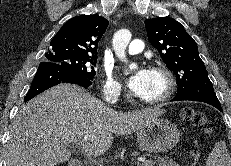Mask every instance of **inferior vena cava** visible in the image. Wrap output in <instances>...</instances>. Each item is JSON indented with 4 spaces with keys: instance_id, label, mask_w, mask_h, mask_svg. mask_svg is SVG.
Segmentation results:
<instances>
[{
    "instance_id": "602c4592",
    "label": "inferior vena cava",
    "mask_w": 231,
    "mask_h": 166,
    "mask_svg": "<svg viewBox=\"0 0 231 166\" xmlns=\"http://www.w3.org/2000/svg\"><path fill=\"white\" fill-rule=\"evenodd\" d=\"M118 94H114L112 97H105V101L110 104H115L117 102Z\"/></svg>"
}]
</instances>
